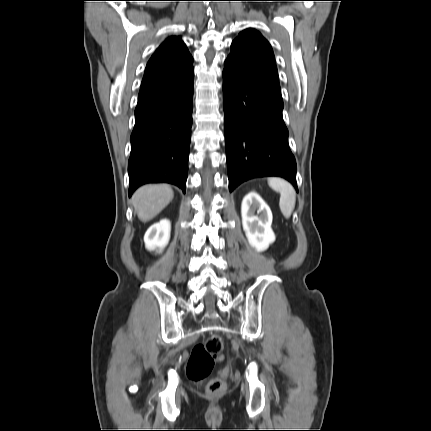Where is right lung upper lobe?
Masks as SVG:
<instances>
[{
	"label": "right lung upper lobe",
	"instance_id": "1",
	"mask_svg": "<svg viewBox=\"0 0 431 431\" xmlns=\"http://www.w3.org/2000/svg\"><path fill=\"white\" fill-rule=\"evenodd\" d=\"M192 64L193 58L181 38H167L147 63L138 104L160 98L181 86L194 76Z\"/></svg>",
	"mask_w": 431,
	"mask_h": 431
}]
</instances>
